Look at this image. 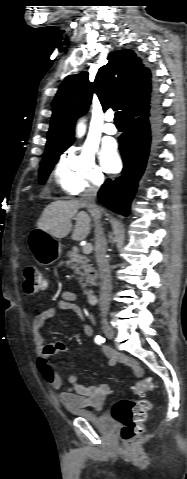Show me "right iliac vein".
<instances>
[{
    "mask_svg": "<svg viewBox=\"0 0 187 479\" xmlns=\"http://www.w3.org/2000/svg\"><path fill=\"white\" fill-rule=\"evenodd\" d=\"M102 330H103V332H104V334L107 338H109V339L114 338L115 332H114L113 328L108 323L105 322V323L102 324Z\"/></svg>",
    "mask_w": 187,
    "mask_h": 479,
    "instance_id": "right-iliac-vein-1",
    "label": "right iliac vein"
}]
</instances>
